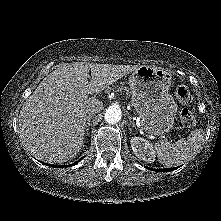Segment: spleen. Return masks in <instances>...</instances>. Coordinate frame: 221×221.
<instances>
[{"label":"spleen","instance_id":"1","mask_svg":"<svg viewBox=\"0 0 221 221\" xmlns=\"http://www.w3.org/2000/svg\"><path fill=\"white\" fill-rule=\"evenodd\" d=\"M203 140V130L196 129L187 138H181L174 143L159 141L155 143L159 162L167 167L181 165L195 156Z\"/></svg>","mask_w":221,"mask_h":221}]
</instances>
